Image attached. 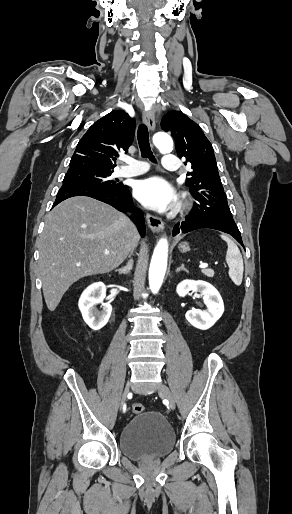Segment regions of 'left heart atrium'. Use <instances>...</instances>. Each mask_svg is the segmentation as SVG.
Segmentation results:
<instances>
[{"mask_svg": "<svg viewBox=\"0 0 292 514\" xmlns=\"http://www.w3.org/2000/svg\"><path fill=\"white\" fill-rule=\"evenodd\" d=\"M134 195L143 205L157 210H166L176 202L174 190L159 176L139 181L135 186Z\"/></svg>", "mask_w": 292, "mask_h": 514, "instance_id": "1", "label": "left heart atrium"}]
</instances>
